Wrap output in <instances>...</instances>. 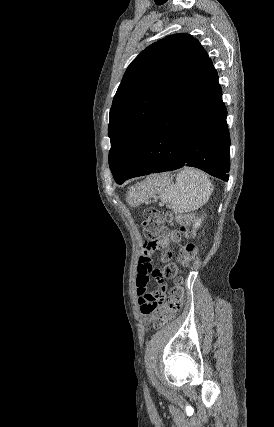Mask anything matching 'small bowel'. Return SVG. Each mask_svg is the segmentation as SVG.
I'll list each match as a JSON object with an SVG mask.
<instances>
[{
    "instance_id": "1",
    "label": "small bowel",
    "mask_w": 274,
    "mask_h": 427,
    "mask_svg": "<svg viewBox=\"0 0 274 427\" xmlns=\"http://www.w3.org/2000/svg\"><path fill=\"white\" fill-rule=\"evenodd\" d=\"M141 254L139 256V264L137 267V276H136V294L139 304V311L141 316V321L143 324L153 323L152 315L154 313V306L160 305L161 298L158 292H150L148 290V284H163L165 278H176L178 275L177 270L175 269L176 264L174 261H167L165 263L166 269H155L153 275L150 277L149 274L152 271L151 257L150 253L158 254L161 250H166L165 254L168 257L173 256L174 251L167 250L166 247H161L157 244H145L140 246ZM160 290L162 293L168 292V287L165 285H160Z\"/></svg>"
}]
</instances>
